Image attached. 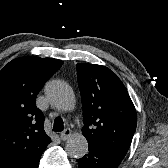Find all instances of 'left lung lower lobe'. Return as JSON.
<instances>
[{
  "label": "left lung lower lobe",
  "mask_w": 168,
  "mask_h": 168,
  "mask_svg": "<svg viewBox=\"0 0 168 168\" xmlns=\"http://www.w3.org/2000/svg\"><path fill=\"white\" fill-rule=\"evenodd\" d=\"M122 158L89 144V152L78 159L79 168H117Z\"/></svg>",
  "instance_id": "left-lung-lower-lobe-1"
}]
</instances>
